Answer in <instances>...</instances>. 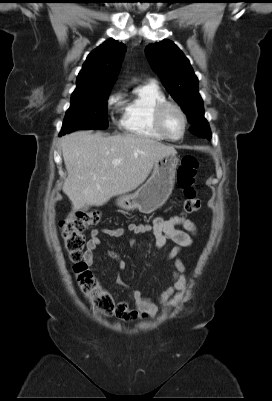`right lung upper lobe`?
I'll use <instances>...</instances> for the list:
<instances>
[{"mask_svg": "<svg viewBox=\"0 0 272 401\" xmlns=\"http://www.w3.org/2000/svg\"><path fill=\"white\" fill-rule=\"evenodd\" d=\"M126 46L115 40H107L86 58L76 80L71 97L98 90L112 89Z\"/></svg>", "mask_w": 272, "mask_h": 401, "instance_id": "cb5924a9", "label": "right lung upper lobe"}]
</instances>
